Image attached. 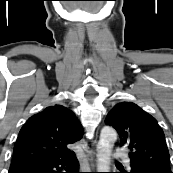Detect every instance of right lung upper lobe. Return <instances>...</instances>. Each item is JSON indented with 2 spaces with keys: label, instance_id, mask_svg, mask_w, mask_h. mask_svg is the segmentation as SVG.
<instances>
[{
  "label": "right lung upper lobe",
  "instance_id": "right-lung-upper-lobe-1",
  "mask_svg": "<svg viewBox=\"0 0 173 173\" xmlns=\"http://www.w3.org/2000/svg\"><path fill=\"white\" fill-rule=\"evenodd\" d=\"M81 137L82 127L71 110L62 105L47 107L21 128L10 167L67 156L73 152L68 145Z\"/></svg>",
  "mask_w": 173,
  "mask_h": 173
}]
</instances>
